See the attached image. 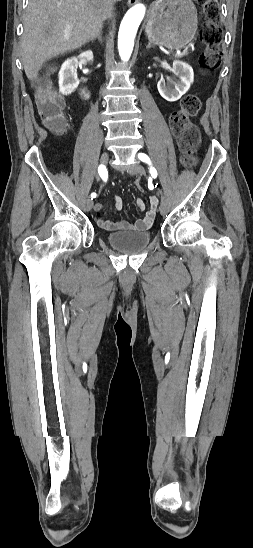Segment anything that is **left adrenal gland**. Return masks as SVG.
Instances as JSON below:
<instances>
[{"label":"left adrenal gland","mask_w":253,"mask_h":548,"mask_svg":"<svg viewBox=\"0 0 253 548\" xmlns=\"http://www.w3.org/2000/svg\"><path fill=\"white\" fill-rule=\"evenodd\" d=\"M151 47H153V45L151 44V42H149L148 45L146 46V49H149Z\"/></svg>","instance_id":"1"}]
</instances>
